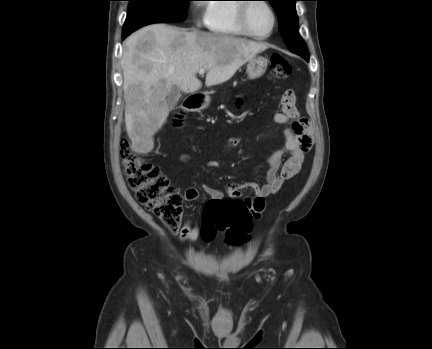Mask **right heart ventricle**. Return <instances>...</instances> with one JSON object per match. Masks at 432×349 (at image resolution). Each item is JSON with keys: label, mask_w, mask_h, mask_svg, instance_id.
<instances>
[{"label": "right heart ventricle", "mask_w": 432, "mask_h": 349, "mask_svg": "<svg viewBox=\"0 0 432 349\" xmlns=\"http://www.w3.org/2000/svg\"><path fill=\"white\" fill-rule=\"evenodd\" d=\"M222 1L238 0H212L207 4L204 16L205 27L213 34L225 37H244L245 33L237 22L239 4L224 3Z\"/></svg>", "instance_id": "right-heart-ventricle-1"}]
</instances>
